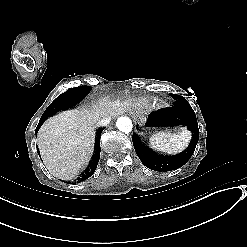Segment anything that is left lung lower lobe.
I'll list each match as a JSON object with an SVG mask.
<instances>
[{
    "label": "left lung lower lobe",
    "mask_w": 247,
    "mask_h": 247,
    "mask_svg": "<svg viewBox=\"0 0 247 247\" xmlns=\"http://www.w3.org/2000/svg\"><path fill=\"white\" fill-rule=\"evenodd\" d=\"M169 113L173 115V119L177 121V117H181L182 122L188 125L189 130L193 134V140L190 147L180 154L167 156L160 155L148 147H146L134 133L132 137L133 145L139 159L149 169L154 171H171L182 167L193 155L199 137V129L195 112L189 103H176L169 109Z\"/></svg>",
    "instance_id": "left-lung-lower-lobe-1"
}]
</instances>
